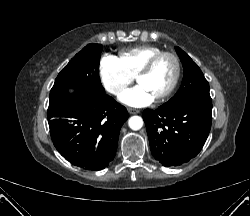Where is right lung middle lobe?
<instances>
[{
  "label": "right lung middle lobe",
  "mask_w": 250,
  "mask_h": 216,
  "mask_svg": "<svg viewBox=\"0 0 250 216\" xmlns=\"http://www.w3.org/2000/svg\"><path fill=\"white\" fill-rule=\"evenodd\" d=\"M100 44H88L58 74L50 92V102L65 95L69 88L104 93L99 77Z\"/></svg>",
  "instance_id": "1"
}]
</instances>
